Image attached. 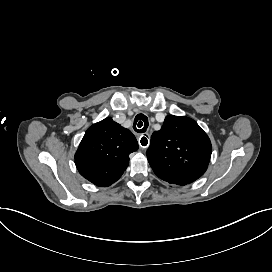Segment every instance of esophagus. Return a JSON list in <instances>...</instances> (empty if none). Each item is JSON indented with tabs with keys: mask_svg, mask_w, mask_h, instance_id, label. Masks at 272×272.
<instances>
[{
	"mask_svg": "<svg viewBox=\"0 0 272 272\" xmlns=\"http://www.w3.org/2000/svg\"><path fill=\"white\" fill-rule=\"evenodd\" d=\"M149 142H150L149 135H142L139 137V145L143 150L148 148Z\"/></svg>",
	"mask_w": 272,
	"mask_h": 272,
	"instance_id": "1",
	"label": "esophagus"
}]
</instances>
